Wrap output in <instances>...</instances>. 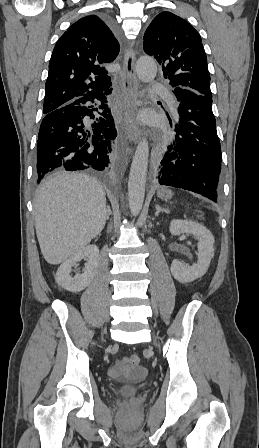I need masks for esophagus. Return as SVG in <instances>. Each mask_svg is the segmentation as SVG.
I'll return each instance as SVG.
<instances>
[{
	"mask_svg": "<svg viewBox=\"0 0 259 448\" xmlns=\"http://www.w3.org/2000/svg\"><path fill=\"white\" fill-rule=\"evenodd\" d=\"M136 55L133 48L126 50L123 60V76L122 87L125 93L127 115H126V130L127 137L130 142L136 143L139 140L140 129L137 123V110L142 105V100L139 94L138 81L136 77L135 68Z\"/></svg>",
	"mask_w": 259,
	"mask_h": 448,
	"instance_id": "34e87169",
	"label": "esophagus"
}]
</instances>
